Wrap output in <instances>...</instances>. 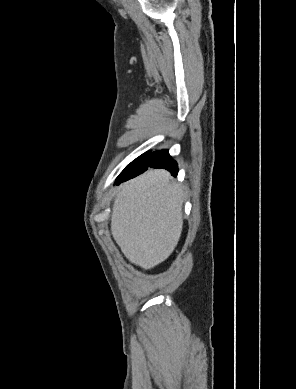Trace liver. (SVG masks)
<instances>
[{
    "label": "liver",
    "instance_id": "1",
    "mask_svg": "<svg viewBox=\"0 0 296 389\" xmlns=\"http://www.w3.org/2000/svg\"><path fill=\"white\" fill-rule=\"evenodd\" d=\"M170 179L166 170H149L124 183L113 204V238L145 270L166 260L181 236L184 192Z\"/></svg>",
    "mask_w": 296,
    "mask_h": 389
}]
</instances>
